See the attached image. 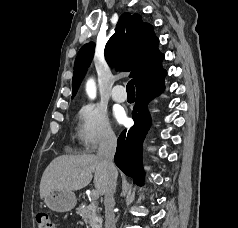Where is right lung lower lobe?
Listing matches in <instances>:
<instances>
[{
  "label": "right lung lower lobe",
  "mask_w": 238,
  "mask_h": 228,
  "mask_svg": "<svg viewBox=\"0 0 238 228\" xmlns=\"http://www.w3.org/2000/svg\"><path fill=\"white\" fill-rule=\"evenodd\" d=\"M165 75L166 71L161 68L156 75L136 87V103L132 112L134 126L124 130L118 138L114 161L137 184L143 181L142 143L151 122L147 105L153 96L164 89Z\"/></svg>",
  "instance_id": "1"
}]
</instances>
